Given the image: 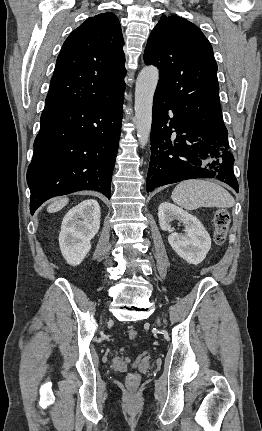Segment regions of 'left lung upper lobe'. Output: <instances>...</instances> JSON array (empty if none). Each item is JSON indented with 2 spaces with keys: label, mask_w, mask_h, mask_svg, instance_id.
Returning a JSON list of instances; mask_svg holds the SVG:
<instances>
[{
  "label": "left lung upper lobe",
  "mask_w": 262,
  "mask_h": 431,
  "mask_svg": "<svg viewBox=\"0 0 262 431\" xmlns=\"http://www.w3.org/2000/svg\"><path fill=\"white\" fill-rule=\"evenodd\" d=\"M144 61L159 68L156 93L175 111L203 131L225 129L213 49L196 25L176 15L162 16Z\"/></svg>",
  "instance_id": "left-lung-upper-lobe-1"
}]
</instances>
